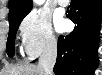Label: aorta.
<instances>
[{
    "label": "aorta",
    "instance_id": "aorta-1",
    "mask_svg": "<svg viewBox=\"0 0 102 75\" xmlns=\"http://www.w3.org/2000/svg\"><path fill=\"white\" fill-rule=\"evenodd\" d=\"M43 2H44V0H35V3H36L37 5H41V4H43Z\"/></svg>",
    "mask_w": 102,
    "mask_h": 75
}]
</instances>
